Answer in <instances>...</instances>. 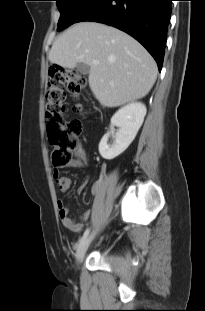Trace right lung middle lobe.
I'll return each mask as SVG.
<instances>
[{
    "instance_id": "right-lung-middle-lobe-1",
    "label": "right lung middle lobe",
    "mask_w": 205,
    "mask_h": 311,
    "mask_svg": "<svg viewBox=\"0 0 205 311\" xmlns=\"http://www.w3.org/2000/svg\"><path fill=\"white\" fill-rule=\"evenodd\" d=\"M61 13L57 30L75 23L95 0H56Z\"/></svg>"
}]
</instances>
